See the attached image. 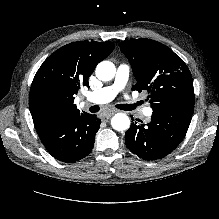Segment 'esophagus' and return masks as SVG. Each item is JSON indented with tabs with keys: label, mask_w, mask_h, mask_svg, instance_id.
<instances>
[{
	"label": "esophagus",
	"mask_w": 219,
	"mask_h": 219,
	"mask_svg": "<svg viewBox=\"0 0 219 219\" xmlns=\"http://www.w3.org/2000/svg\"><path fill=\"white\" fill-rule=\"evenodd\" d=\"M117 112H118L117 109H114V108H113V109H110L107 114H104V115H103V120H104V121H107V120L111 117V115H113L114 113H117Z\"/></svg>",
	"instance_id": "obj_1"
}]
</instances>
